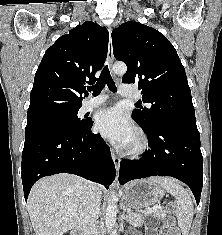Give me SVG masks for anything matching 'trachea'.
I'll return each mask as SVG.
<instances>
[{"mask_svg": "<svg viewBox=\"0 0 222 235\" xmlns=\"http://www.w3.org/2000/svg\"><path fill=\"white\" fill-rule=\"evenodd\" d=\"M105 84H107L108 88L111 91H113V92L117 91L116 86H115V82L113 81V79L110 75V71H109L107 65L102 70L101 75H100L98 81L96 82V84L88 87V90L92 91L94 96L99 95L101 93L102 89L104 88Z\"/></svg>", "mask_w": 222, "mask_h": 235, "instance_id": "obj_1", "label": "trachea"}]
</instances>
